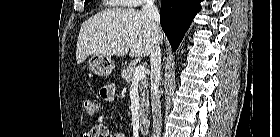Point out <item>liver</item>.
Listing matches in <instances>:
<instances>
[{"label": "liver", "instance_id": "obj_1", "mask_svg": "<svg viewBox=\"0 0 280 137\" xmlns=\"http://www.w3.org/2000/svg\"><path fill=\"white\" fill-rule=\"evenodd\" d=\"M156 36L142 11L130 8L103 10L87 19L77 39L76 61L90 55L145 57L151 54ZM163 40L162 33L159 42Z\"/></svg>", "mask_w": 280, "mask_h": 137}]
</instances>
